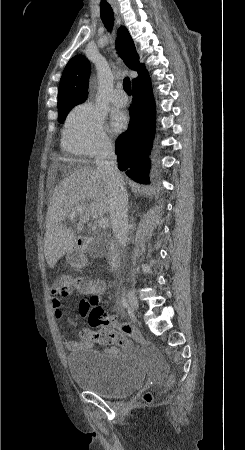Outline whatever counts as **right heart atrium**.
I'll list each match as a JSON object with an SVG mask.
<instances>
[{
    "label": "right heart atrium",
    "mask_w": 245,
    "mask_h": 450,
    "mask_svg": "<svg viewBox=\"0 0 245 450\" xmlns=\"http://www.w3.org/2000/svg\"><path fill=\"white\" fill-rule=\"evenodd\" d=\"M62 147L81 158H93L111 148L104 116L93 104L86 102L70 111L64 124Z\"/></svg>",
    "instance_id": "1"
}]
</instances>
